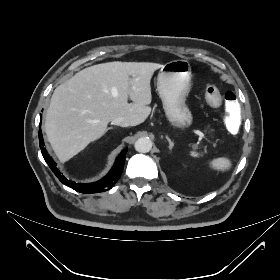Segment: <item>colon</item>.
Segmentation results:
<instances>
[{
    "label": "colon",
    "instance_id": "obj_1",
    "mask_svg": "<svg viewBox=\"0 0 280 280\" xmlns=\"http://www.w3.org/2000/svg\"><path fill=\"white\" fill-rule=\"evenodd\" d=\"M205 98L207 102L217 107L223 100L227 107V114L225 116V122L228 127V131L232 135H237L241 131L240 119L243 115V110L240 105L237 104V96L233 91H226L221 96L218 88L215 85H207L205 88Z\"/></svg>",
    "mask_w": 280,
    "mask_h": 280
}]
</instances>
